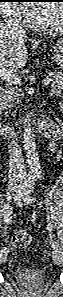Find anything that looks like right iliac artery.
<instances>
[{
  "mask_svg": "<svg viewBox=\"0 0 63 297\" xmlns=\"http://www.w3.org/2000/svg\"><path fill=\"white\" fill-rule=\"evenodd\" d=\"M12 195H13V193H11V191H9V192L7 193V200H8V201L11 200ZM5 209H6V210H4V213H5V214H4V221H5L6 223H9V222L11 221V214H12V211H11V208H9V207H6ZM7 252H8L7 248H2V249H1V253H0V258L3 256V254H7Z\"/></svg>",
  "mask_w": 63,
  "mask_h": 297,
  "instance_id": "1",
  "label": "right iliac artery"
}]
</instances>
